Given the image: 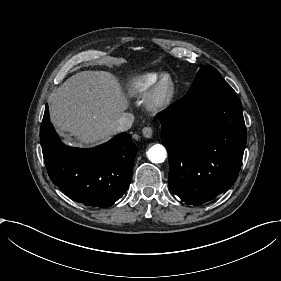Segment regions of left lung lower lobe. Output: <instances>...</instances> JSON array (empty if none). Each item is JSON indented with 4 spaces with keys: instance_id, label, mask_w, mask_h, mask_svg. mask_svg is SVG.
I'll return each mask as SVG.
<instances>
[{
    "instance_id": "0a47b994",
    "label": "left lung lower lobe",
    "mask_w": 281,
    "mask_h": 281,
    "mask_svg": "<svg viewBox=\"0 0 281 281\" xmlns=\"http://www.w3.org/2000/svg\"><path fill=\"white\" fill-rule=\"evenodd\" d=\"M169 157V187L199 206L237 179L247 133L238 95L211 93L181 99L157 115Z\"/></svg>"
}]
</instances>
